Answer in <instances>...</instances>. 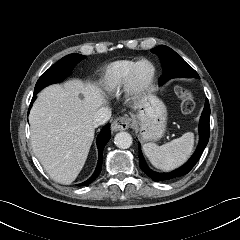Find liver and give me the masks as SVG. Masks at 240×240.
<instances>
[{"instance_id": "liver-1", "label": "liver", "mask_w": 240, "mask_h": 240, "mask_svg": "<svg viewBox=\"0 0 240 240\" xmlns=\"http://www.w3.org/2000/svg\"><path fill=\"white\" fill-rule=\"evenodd\" d=\"M106 103L97 85L78 79L38 94L29 115L31 144L52 179L70 184L77 178L94 139L93 117Z\"/></svg>"}]
</instances>
